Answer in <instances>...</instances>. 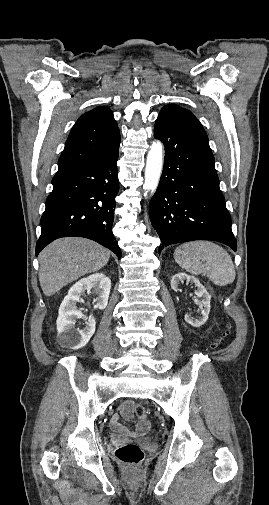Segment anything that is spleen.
I'll return each mask as SVG.
<instances>
[{
	"label": "spleen",
	"instance_id": "1",
	"mask_svg": "<svg viewBox=\"0 0 269 505\" xmlns=\"http://www.w3.org/2000/svg\"><path fill=\"white\" fill-rule=\"evenodd\" d=\"M174 259L187 272L203 274L218 286L231 284L236 271L229 253L210 241H191L175 249Z\"/></svg>",
	"mask_w": 269,
	"mask_h": 505
}]
</instances>
